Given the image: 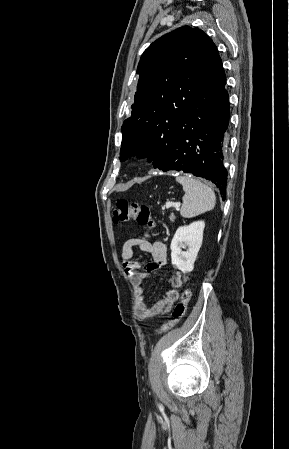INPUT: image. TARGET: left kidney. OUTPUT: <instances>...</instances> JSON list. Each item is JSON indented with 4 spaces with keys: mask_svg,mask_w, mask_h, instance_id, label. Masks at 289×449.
Wrapping results in <instances>:
<instances>
[{
    "mask_svg": "<svg viewBox=\"0 0 289 449\" xmlns=\"http://www.w3.org/2000/svg\"><path fill=\"white\" fill-rule=\"evenodd\" d=\"M204 221H196L177 229L171 242V262L183 273L191 272L202 245ZM186 249V251H182Z\"/></svg>",
    "mask_w": 289,
    "mask_h": 449,
    "instance_id": "obj_1",
    "label": "left kidney"
}]
</instances>
